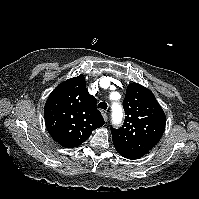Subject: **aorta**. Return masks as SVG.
I'll list each match as a JSON object with an SVG mask.
<instances>
[{
    "label": "aorta",
    "instance_id": "obj_1",
    "mask_svg": "<svg viewBox=\"0 0 199 199\" xmlns=\"http://www.w3.org/2000/svg\"><path fill=\"white\" fill-rule=\"evenodd\" d=\"M123 117V110L121 105L118 103L113 104L112 106V119L114 123H119Z\"/></svg>",
    "mask_w": 199,
    "mask_h": 199
}]
</instances>
